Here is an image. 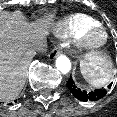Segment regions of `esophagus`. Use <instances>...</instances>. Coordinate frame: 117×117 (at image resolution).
<instances>
[{
  "label": "esophagus",
  "instance_id": "34e87169",
  "mask_svg": "<svg viewBox=\"0 0 117 117\" xmlns=\"http://www.w3.org/2000/svg\"><path fill=\"white\" fill-rule=\"evenodd\" d=\"M61 54V49L59 47H55L49 54V59L53 60L55 59L57 56H59Z\"/></svg>",
  "mask_w": 117,
  "mask_h": 117
}]
</instances>
